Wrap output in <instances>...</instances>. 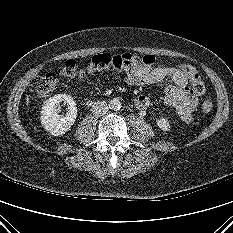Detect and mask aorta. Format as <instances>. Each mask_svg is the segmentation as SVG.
<instances>
[{"label":"aorta","instance_id":"762f6f07","mask_svg":"<svg viewBox=\"0 0 233 233\" xmlns=\"http://www.w3.org/2000/svg\"><path fill=\"white\" fill-rule=\"evenodd\" d=\"M109 108L112 110H120L121 102L119 101V99L115 98V99L110 100Z\"/></svg>","mask_w":233,"mask_h":233}]
</instances>
